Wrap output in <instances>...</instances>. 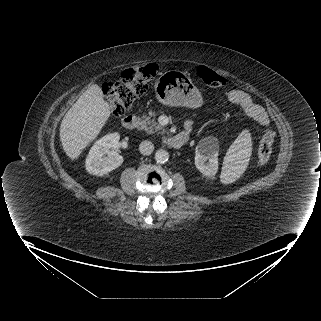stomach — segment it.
<instances>
[{"instance_id": "stomach-1", "label": "stomach", "mask_w": 321, "mask_h": 321, "mask_svg": "<svg viewBox=\"0 0 321 321\" xmlns=\"http://www.w3.org/2000/svg\"><path fill=\"white\" fill-rule=\"evenodd\" d=\"M154 89L157 100L164 105L193 109L203 105V98L198 88L185 73L178 70L161 74Z\"/></svg>"}]
</instances>
